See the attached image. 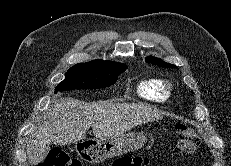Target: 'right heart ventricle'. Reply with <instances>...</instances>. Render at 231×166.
<instances>
[{"instance_id":"e07e8e85","label":"right heart ventricle","mask_w":231,"mask_h":166,"mask_svg":"<svg viewBox=\"0 0 231 166\" xmlns=\"http://www.w3.org/2000/svg\"><path fill=\"white\" fill-rule=\"evenodd\" d=\"M136 92L141 98L153 102H164L168 98L162 81L155 77H146L139 80Z\"/></svg>"}]
</instances>
